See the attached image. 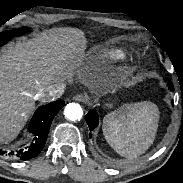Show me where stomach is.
I'll list each match as a JSON object with an SVG mask.
<instances>
[{
    "mask_svg": "<svg viewBox=\"0 0 183 183\" xmlns=\"http://www.w3.org/2000/svg\"><path fill=\"white\" fill-rule=\"evenodd\" d=\"M108 107H111V104H107Z\"/></svg>",
    "mask_w": 183,
    "mask_h": 183,
    "instance_id": "stomach-1",
    "label": "stomach"
}]
</instances>
